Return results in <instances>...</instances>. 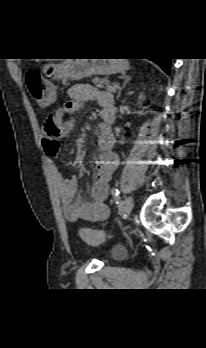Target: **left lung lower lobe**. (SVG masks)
Segmentation results:
<instances>
[{
  "mask_svg": "<svg viewBox=\"0 0 206 348\" xmlns=\"http://www.w3.org/2000/svg\"><path fill=\"white\" fill-rule=\"evenodd\" d=\"M152 60L158 63L167 74H170L171 58H159V59H152Z\"/></svg>",
  "mask_w": 206,
  "mask_h": 348,
  "instance_id": "left-lung-lower-lobe-1",
  "label": "left lung lower lobe"
}]
</instances>
